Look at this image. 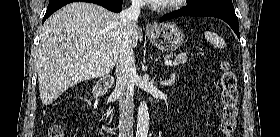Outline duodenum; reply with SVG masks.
I'll return each mask as SVG.
<instances>
[{
  "instance_id": "410a0bca",
  "label": "duodenum",
  "mask_w": 280,
  "mask_h": 137,
  "mask_svg": "<svg viewBox=\"0 0 280 137\" xmlns=\"http://www.w3.org/2000/svg\"><path fill=\"white\" fill-rule=\"evenodd\" d=\"M114 84L112 78H103L101 79L93 89V98L99 100ZM102 113V111H100ZM108 120V116L105 117Z\"/></svg>"
}]
</instances>
